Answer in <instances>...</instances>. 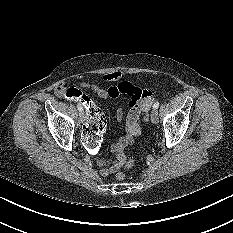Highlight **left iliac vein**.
<instances>
[{
    "label": "left iliac vein",
    "instance_id": "1",
    "mask_svg": "<svg viewBox=\"0 0 233 233\" xmlns=\"http://www.w3.org/2000/svg\"><path fill=\"white\" fill-rule=\"evenodd\" d=\"M151 122L153 124H157L158 123V113L155 109L152 110L151 112Z\"/></svg>",
    "mask_w": 233,
    "mask_h": 233
}]
</instances>
